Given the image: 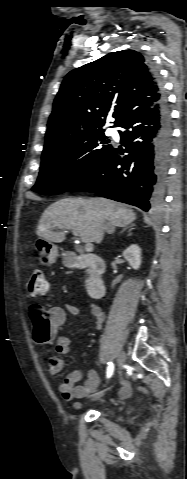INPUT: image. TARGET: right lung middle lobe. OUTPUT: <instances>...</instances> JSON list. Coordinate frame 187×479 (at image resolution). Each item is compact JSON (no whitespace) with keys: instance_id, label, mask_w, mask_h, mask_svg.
I'll use <instances>...</instances> for the list:
<instances>
[{"instance_id":"right-lung-middle-lobe-1","label":"right lung middle lobe","mask_w":187,"mask_h":479,"mask_svg":"<svg viewBox=\"0 0 187 479\" xmlns=\"http://www.w3.org/2000/svg\"><path fill=\"white\" fill-rule=\"evenodd\" d=\"M104 130L87 131L44 149L40 173L32 188L41 194L69 191L109 153Z\"/></svg>"}]
</instances>
